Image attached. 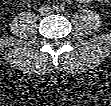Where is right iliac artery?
Returning <instances> with one entry per match:
<instances>
[{
	"label": "right iliac artery",
	"instance_id": "right-iliac-artery-1",
	"mask_svg": "<svg viewBox=\"0 0 111 106\" xmlns=\"http://www.w3.org/2000/svg\"><path fill=\"white\" fill-rule=\"evenodd\" d=\"M53 9H54V10H57V9H58V7L54 5V6H53Z\"/></svg>",
	"mask_w": 111,
	"mask_h": 106
}]
</instances>
